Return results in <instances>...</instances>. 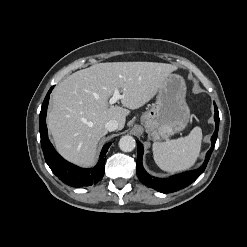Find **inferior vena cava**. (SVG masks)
<instances>
[{
	"instance_id": "inferior-vena-cava-1",
	"label": "inferior vena cava",
	"mask_w": 247,
	"mask_h": 247,
	"mask_svg": "<svg viewBox=\"0 0 247 247\" xmlns=\"http://www.w3.org/2000/svg\"><path fill=\"white\" fill-rule=\"evenodd\" d=\"M118 122L116 120H109L106 124H105V128L108 131H115L118 129Z\"/></svg>"
}]
</instances>
